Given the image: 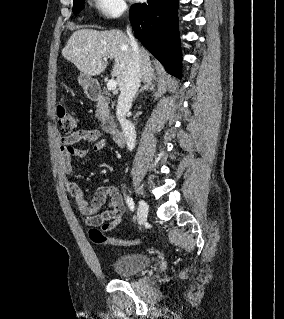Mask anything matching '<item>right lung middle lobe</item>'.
Instances as JSON below:
<instances>
[{
  "label": "right lung middle lobe",
  "instance_id": "obj_1",
  "mask_svg": "<svg viewBox=\"0 0 284 319\" xmlns=\"http://www.w3.org/2000/svg\"><path fill=\"white\" fill-rule=\"evenodd\" d=\"M83 9V0H74L73 13H78Z\"/></svg>",
  "mask_w": 284,
  "mask_h": 319
}]
</instances>
